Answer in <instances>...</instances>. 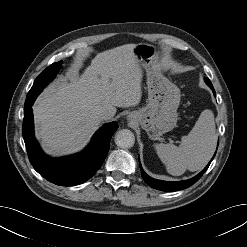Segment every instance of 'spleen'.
I'll return each mask as SVG.
<instances>
[{
	"label": "spleen",
	"instance_id": "3e777b00",
	"mask_svg": "<svg viewBox=\"0 0 247 247\" xmlns=\"http://www.w3.org/2000/svg\"><path fill=\"white\" fill-rule=\"evenodd\" d=\"M217 143L214 115L211 110H204L193 129L182 136L179 146L156 144L155 149L168 173L181 175L186 169H202L212 157Z\"/></svg>",
	"mask_w": 247,
	"mask_h": 247
}]
</instances>
